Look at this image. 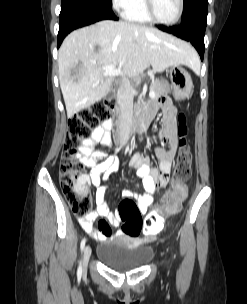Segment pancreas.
<instances>
[{
  "instance_id": "1",
  "label": "pancreas",
  "mask_w": 247,
  "mask_h": 304,
  "mask_svg": "<svg viewBox=\"0 0 247 304\" xmlns=\"http://www.w3.org/2000/svg\"><path fill=\"white\" fill-rule=\"evenodd\" d=\"M150 90H153L155 93V98H159L160 96L167 95L168 89L164 85L163 82L159 80L152 81L150 85Z\"/></svg>"
}]
</instances>
